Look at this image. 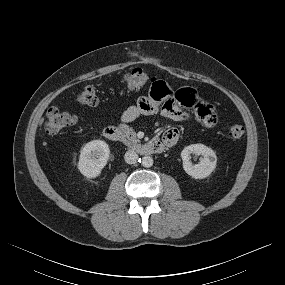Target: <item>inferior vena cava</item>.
Listing matches in <instances>:
<instances>
[{
    "mask_svg": "<svg viewBox=\"0 0 285 285\" xmlns=\"http://www.w3.org/2000/svg\"><path fill=\"white\" fill-rule=\"evenodd\" d=\"M125 162L128 164H134L137 162L138 154L133 150H128L124 156Z\"/></svg>",
    "mask_w": 285,
    "mask_h": 285,
    "instance_id": "602c4592",
    "label": "inferior vena cava"
}]
</instances>
